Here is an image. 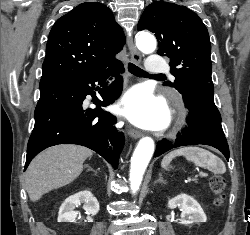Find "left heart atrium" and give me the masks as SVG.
Segmentation results:
<instances>
[{"mask_svg":"<svg viewBox=\"0 0 250 235\" xmlns=\"http://www.w3.org/2000/svg\"><path fill=\"white\" fill-rule=\"evenodd\" d=\"M123 113L130 121L147 129H162L169 121L165 102L144 88H134L126 94Z\"/></svg>","mask_w":250,"mask_h":235,"instance_id":"obj_1","label":"left heart atrium"}]
</instances>
